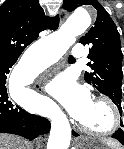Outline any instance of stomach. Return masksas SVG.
Returning <instances> with one entry per match:
<instances>
[{
	"label": "stomach",
	"mask_w": 124,
	"mask_h": 149,
	"mask_svg": "<svg viewBox=\"0 0 124 149\" xmlns=\"http://www.w3.org/2000/svg\"><path fill=\"white\" fill-rule=\"evenodd\" d=\"M79 149H116L110 140H95L91 137L80 136L78 142Z\"/></svg>",
	"instance_id": "obj_1"
}]
</instances>
